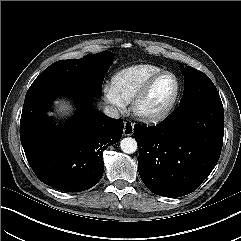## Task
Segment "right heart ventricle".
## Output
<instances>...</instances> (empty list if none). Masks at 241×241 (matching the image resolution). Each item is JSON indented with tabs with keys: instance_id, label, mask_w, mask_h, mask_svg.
<instances>
[{
	"instance_id": "1",
	"label": "right heart ventricle",
	"mask_w": 241,
	"mask_h": 241,
	"mask_svg": "<svg viewBox=\"0 0 241 241\" xmlns=\"http://www.w3.org/2000/svg\"><path fill=\"white\" fill-rule=\"evenodd\" d=\"M163 71L153 64H137L117 71L111 85L124 103H130L142 86L155 74Z\"/></svg>"
}]
</instances>
